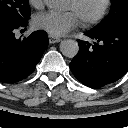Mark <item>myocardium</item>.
Returning <instances> with one entry per match:
<instances>
[{"mask_svg":"<svg viewBox=\"0 0 128 128\" xmlns=\"http://www.w3.org/2000/svg\"><path fill=\"white\" fill-rule=\"evenodd\" d=\"M82 0H72L74 4H79ZM112 4V0H103L98 12L90 18L80 19L84 27H91L98 24L107 14Z\"/></svg>","mask_w":128,"mask_h":128,"instance_id":"f54148a6","label":"myocardium"}]
</instances>
